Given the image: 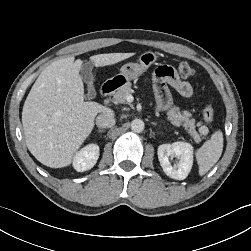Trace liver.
Masks as SVG:
<instances>
[{
  "label": "liver",
  "instance_id": "obj_1",
  "mask_svg": "<svg viewBox=\"0 0 251 251\" xmlns=\"http://www.w3.org/2000/svg\"><path fill=\"white\" fill-rule=\"evenodd\" d=\"M134 53L98 54L90 57L96 67L114 65ZM57 60L47 66L33 84L23 106L22 124L26 145L42 164L62 168L90 135L100 112L111 109L84 102L81 60ZM113 113V112H112Z\"/></svg>",
  "mask_w": 251,
  "mask_h": 251
}]
</instances>
